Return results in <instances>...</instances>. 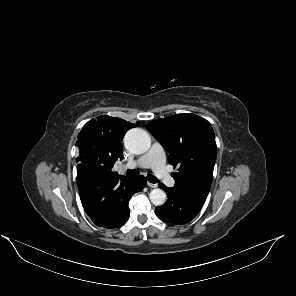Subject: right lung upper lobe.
Segmentation results:
<instances>
[{"instance_id":"obj_1","label":"right lung upper lobe","mask_w":296,"mask_h":296,"mask_svg":"<svg viewBox=\"0 0 296 296\" xmlns=\"http://www.w3.org/2000/svg\"><path fill=\"white\" fill-rule=\"evenodd\" d=\"M138 125V122L132 124L107 115L92 119L83 126L78 134L79 154L86 149L99 152L103 159V177H118L117 172H112L111 168L117 160L123 159L121 141L129 129Z\"/></svg>"}]
</instances>
